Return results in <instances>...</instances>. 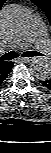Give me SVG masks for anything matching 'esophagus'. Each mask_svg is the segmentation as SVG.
<instances>
[{"label": "esophagus", "mask_w": 51, "mask_h": 153, "mask_svg": "<svg viewBox=\"0 0 51 153\" xmlns=\"http://www.w3.org/2000/svg\"><path fill=\"white\" fill-rule=\"evenodd\" d=\"M20 60L23 61V62H30V61L33 60V58H30V57H22V58H20Z\"/></svg>", "instance_id": "esophagus-1"}]
</instances>
